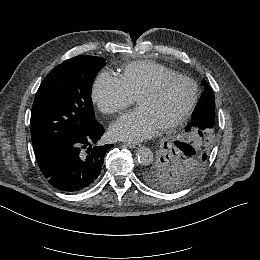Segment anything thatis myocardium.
<instances>
[{"label":"myocardium","instance_id":"myocardium-1","mask_svg":"<svg viewBox=\"0 0 260 260\" xmlns=\"http://www.w3.org/2000/svg\"><path fill=\"white\" fill-rule=\"evenodd\" d=\"M173 80H184V81L189 82L194 88V96L190 102V105L188 106L186 111L180 117H178L177 119H175L172 122H169L167 124H163V125L156 127V130L159 133L169 132V131L177 129L191 116V114L193 113L194 109L196 108V105L200 98V91H199L197 85H195L187 76L177 73V74L162 76V77L158 78V80L153 85H150L149 87L142 89L135 97V102H136V100L142 96L155 95L156 93H158L160 91V89L165 84H167Z\"/></svg>","mask_w":260,"mask_h":260}]
</instances>
